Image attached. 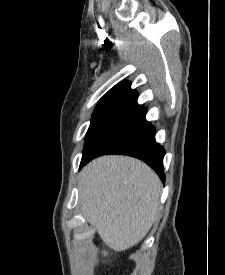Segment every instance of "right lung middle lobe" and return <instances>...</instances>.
Here are the masks:
<instances>
[{
  "label": "right lung middle lobe",
  "instance_id": "right-lung-middle-lobe-1",
  "mask_svg": "<svg viewBox=\"0 0 225 275\" xmlns=\"http://www.w3.org/2000/svg\"><path fill=\"white\" fill-rule=\"evenodd\" d=\"M125 118L126 117L120 115L93 117L87 131L82 161L87 158L100 141Z\"/></svg>",
  "mask_w": 225,
  "mask_h": 275
}]
</instances>
